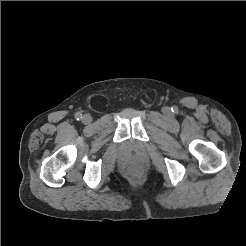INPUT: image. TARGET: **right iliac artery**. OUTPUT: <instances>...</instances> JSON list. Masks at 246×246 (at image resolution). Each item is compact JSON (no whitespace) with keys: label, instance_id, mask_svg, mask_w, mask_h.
Returning a JSON list of instances; mask_svg holds the SVG:
<instances>
[{"label":"right iliac artery","instance_id":"82829eb1","mask_svg":"<svg viewBox=\"0 0 246 246\" xmlns=\"http://www.w3.org/2000/svg\"><path fill=\"white\" fill-rule=\"evenodd\" d=\"M76 120H81L82 119V114L81 113H76L75 114Z\"/></svg>","mask_w":246,"mask_h":246}]
</instances>
